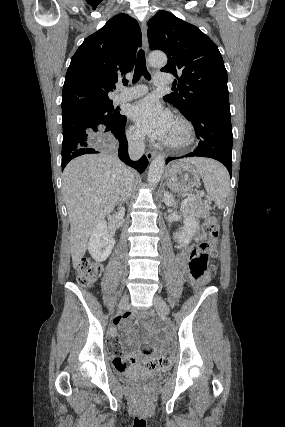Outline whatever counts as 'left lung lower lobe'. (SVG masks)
I'll return each mask as SVG.
<instances>
[{"mask_svg":"<svg viewBox=\"0 0 285 427\" xmlns=\"http://www.w3.org/2000/svg\"><path fill=\"white\" fill-rule=\"evenodd\" d=\"M185 117L195 128L199 145L185 156L168 157L166 163L183 157H209L223 163L231 174L233 135L230 111L207 106L197 108Z\"/></svg>","mask_w":285,"mask_h":427,"instance_id":"left-lung-lower-lobe-1","label":"left lung lower lobe"}]
</instances>
